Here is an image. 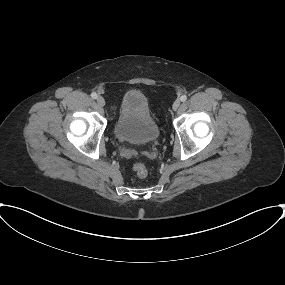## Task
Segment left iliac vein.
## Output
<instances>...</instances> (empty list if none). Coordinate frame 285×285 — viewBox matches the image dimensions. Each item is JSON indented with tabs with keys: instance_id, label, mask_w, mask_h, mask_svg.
I'll use <instances>...</instances> for the list:
<instances>
[{
	"instance_id": "left-iliac-vein-1",
	"label": "left iliac vein",
	"mask_w": 285,
	"mask_h": 285,
	"mask_svg": "<svg viewBox=\"0 0 285 285\" xmlns=\"http://www.w3.org/2000/svg\"><path fill=\"white\" fill-rule=\"evenodd\" d=\"M180 106V100H176L173 105H172V108L174 111H176Z\"/></svg>"
}]
</instances>
